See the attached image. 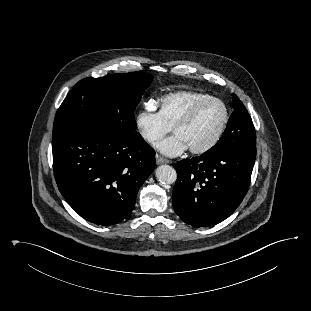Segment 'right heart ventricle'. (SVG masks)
<instances>
[{"label": "right heart ventricle", "instance_id": "right-heart-ventricle-1", "mask_svg": "<svg viewBox=\"0 0 311 311\" xmlns=\"http://www.w3.org/2000/svg\"><path fill=\"white\" fill-rule=\"evenodd\" d=\"M209 96L194 91H177L166 94L158 101L159 113L162 119L170 127H173L193 104Z\"/></svg>", "mask_w": 311, "mask_h": 311}]
</instances>
